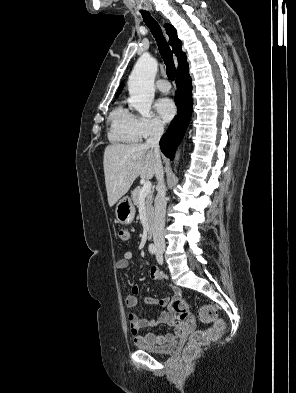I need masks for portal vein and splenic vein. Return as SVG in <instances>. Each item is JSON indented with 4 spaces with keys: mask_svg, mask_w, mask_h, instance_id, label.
Returning <instances> with one entry per match:
<instances>
[{
    "mask_svg": "<svg viewBox=\"0 0 296 393\" xmlns=\"http://www.w3.org/2000/svg\"><path fill=\"white\" fill-rule=\"evenodd\" d=\"M152 184L150 181H147L144 183L141 192H140V197L143 198L146 196L149 192H151Z\"/></svg>",
    "mask_w": 296,
    "mask_h": 393,
    "instance_id": "1",
    "label": "portal vein and splenic vein"
}]
</instances>
